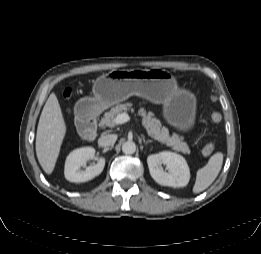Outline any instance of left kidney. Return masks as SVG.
Here are the masks:
<instances>
[{"mask_svg":"<svg viewBox=\"0 0 261 254\" xmlns=\"http://www.w3.org/2000/svg\"><path fill=\"white\" fill-rule=\"evenodd\" d=\"M151 177L162 186L184 187L190 179V170L186 160L179 154L163 151L147 157ZM166 165L168 172L161 165Z\"/></svg>","mask_w":261,"mask_h":254,"instance_id":"5707ae66","label":"left kidney"}]
</instances>
